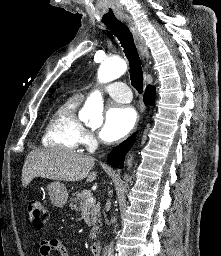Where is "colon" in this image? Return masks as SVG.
Here are the masks:
<instances>
[{
	"label": "colon",
	"mask_w": 221,
	"mask_h": 256,
	"mask_svg": "<svg viewBox=\"0 0 221 256\" xmlns=\"http://www.w3.org/2000/svg\"><path fill=\"white\" fill-rule=\"evenodd\" d=\"M27 214L32 227L36 230L43 229L49 220L47 207L37 198H30L27 201Z\"/></svg>",
	"instance_id": "obj_1"
}]
</instances>
